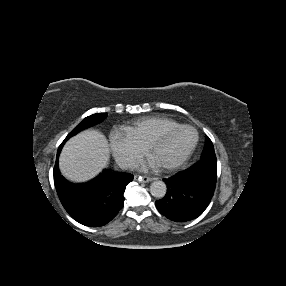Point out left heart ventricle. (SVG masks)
<instances>
[{
    "label": "left heart ventricle",
    "mask_w": 286,
    "mask_h": 286,
    "mask_svg": "<svg viewBox=\"0 0 286 286\" xmlns=\"http://www.w3.org/2000/svg\"><path fill=\"white\" fill-rule=\"evenodd\" d=\"M195 140V131L189 128L184 129L155 148L151 153L152 158L160 165L175 162L192 148Z\"/></svg>",
    "instance_id": "b2bd125f"
}]
</instances>
